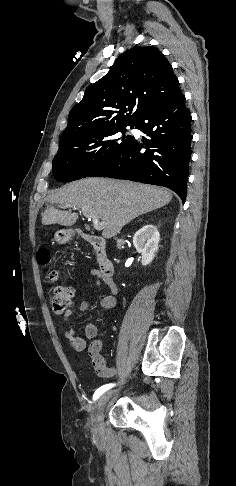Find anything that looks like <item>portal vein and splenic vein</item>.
I'll return each instance as SVG.
<instances>
[{
  "label": "portal vein and splenic vein",
  "instance_id": "obj_1",
  "mask_svg": "<svg viewBox=\"0 0 236 486\" xmlns=\"http://www.w3.org/2000/svg\"><path fill=\"white\" fill-rule=\"evenodd\" d=\"M83 215L91 219L96 230H102L105 227V222L99 220V216L94 209H82Z\"/></svg>",
  "mask_w": 236,
  "mask_h": 486
}]
</instances>
